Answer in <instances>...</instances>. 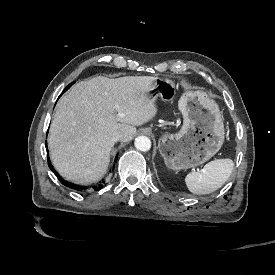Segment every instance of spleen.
Instances as JSON below:
<instances>
[{
  "label": "spleen",
  "instance_id": "3e777b00",
  "mask_svg": "<svg viewBox=\"0 0 275 275\" xmlns=\"http://www.w3.org/2000/svg\"><path fill=\"white\" fill-rule=\"evenodd\" d=\"M234 163L231 159H216L207 163L201 172H191L185 182L193 194H210L219 189L231 176Z\"/></svg>",
  "mask_w": 275,
  "mask_h": 275
}]
</instances>
